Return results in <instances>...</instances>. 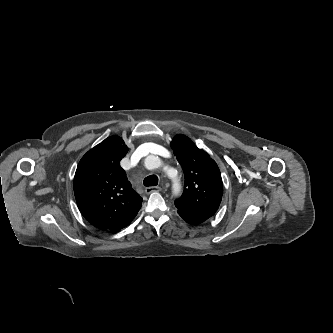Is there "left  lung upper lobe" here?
Returning a JSON list of instances; mask_svg holds the SVG:
<instances>
[{
    "label": "left lung upper lobe",
    "mask_w": 333,
    "mask_h": 333,
    "mask_svg": "<svg viewBox=\"0 0 333 333\" xmlns=\"http://www.w3.org/2000/svg\"><path fill=\"white\" fill-rule=\"evenodd\" d=\"M171 147L184 172V191L175 201L178 210L211 217L217 211L223 184L216 162L185 135H176Z\"/></svg>",
    "instance_id": "obj_1"
}]
</instances>
